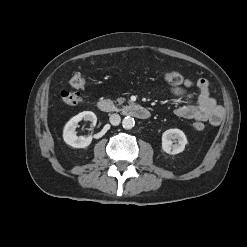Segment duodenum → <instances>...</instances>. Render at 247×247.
I'll list each match as a JSON object with an SVG mask.
<instances>
[{
    "mask_svg": "<svg viewBox=\"0 0 247 247\" xmlns=\"http://www.w3.org/2000/svg\"><path fill=\"white\" fill-rule=\"evenodd\" d=\"M97 107L101 112L110 113V112H121L124 115L132 116L141 120H146L150 117V111L136 103H129L120 108H117L110 100L100 99L97 102Z\"/></svg>",
    "mask_w": 247,
    "mask_h": 247,
    "instance_id": "duodenum-1",
    "label": "duodenum"
}]
</instances>
